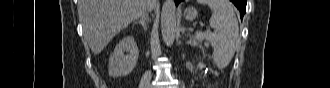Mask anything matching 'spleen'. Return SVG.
I'll return each mask as SVG.
<instances>
[{
	"label": "spleen",
	"instance_id": "obj_1",
	"mask_svg": "<svg viewBox=\"0 0 330 88\" xmlns=\"http://www.w3.org/2000/svg\"><path fill=\"white\" fill-rule=\"evenodd\" d=\"M201 4H206L212 11L209 24L217 30L198 31L195 38L197 40L207 39L214 51L213 59L219 68L226 67L232 60L235 50L239 45V26L234 12V8L229 0H199Z\"/></svg>",
	"mask_w": 330,
	"mask_h": 88
}]
</instances>
